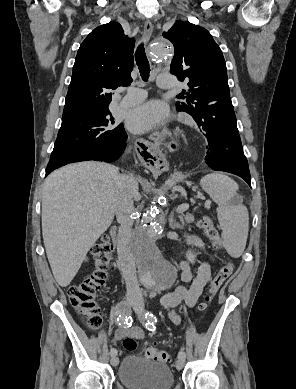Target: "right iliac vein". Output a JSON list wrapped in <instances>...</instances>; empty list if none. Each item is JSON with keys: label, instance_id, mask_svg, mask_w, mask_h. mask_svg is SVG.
<instances>
[{"label": "right iliac vein", "instance_id": "63e3f726", "mask_svg": "<svg viewBox=\"0 0 296 389\" xmlns=\"http://www.w3.org/2000/svg\"><path fill=\"white\" fill-rule=\"evenodd\" d=\"M135 298L133 297V296H128L127 297V305H128V307H129V305H133L134 303H135ZM118 363H119V359H118V357L117 356H112V358H111V364L113 365V366H117L118 365Z\"/></svg>", "mask_w": 296, "mask_h": 389}]
</instances>
